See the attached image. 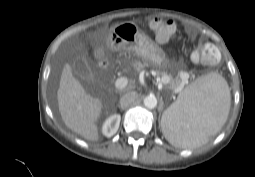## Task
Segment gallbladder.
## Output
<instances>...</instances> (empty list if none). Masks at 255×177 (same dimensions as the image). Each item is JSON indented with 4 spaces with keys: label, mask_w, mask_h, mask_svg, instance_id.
I'll use <instances>...</instances> for the list:
<instances>
[{
    "label": "gallbladder",
    "mask_w": 255,
    "mask_h": 177,
    "mask_svg": "<svg viewBox=\"0 0 255 177\" xmlns=\"http://www.w3.org/2000/svg\"><path fill=\"white\" fill-rule=\"evenodd\" d=\"M73 73L82 80L93 81L94 73L89 65L85 52H79L71 60Z\"/></svg>",
    "instance_id": "1"
}]
</instances>
